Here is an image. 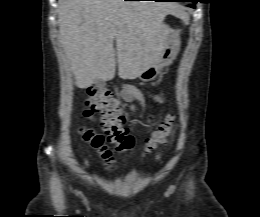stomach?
Returning <instances> with one entry per match:
<instances>
[{
	"mask_svg": "<svg viewBox=\"0 0 260 217\" xmlns=\"http://www.w3.org/2000/svg\"><path fill=\"white\" fill-rule=\"evenodd\" d=\"M169 30V29H168ZM169 35L160 52V61L157 64L146 67L138 76L142 81H151L159 74L160 70L169 65L176 57L179 51L176 34L169 30Z\"/></svg>",
	"mask_w": 260,
	"mask_h": 217,
	"instance_id": "1",
	"label": "stomach"
}]
</instances>
